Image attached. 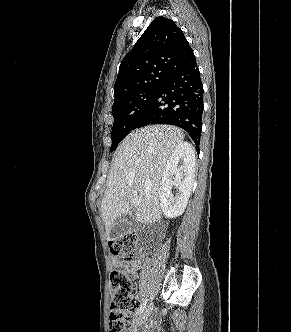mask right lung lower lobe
I'll use <instances>...</instances> for the list:
<instances>
[{
  "label": "right lung lower lobe",
  "mask_w": 291,
  "mask_h": 332,
  "mask_svg": "<svg viewBox=\"0 0 291 332\" xmlns=\"http://www.w3.org/2000/svg\"><path fill=\"white\" fill-rule=\"evenodd\" d=\"M203 112V86L196 60L170 73L139 116L135 128L149 124L178 126L199 147Z\"/></svg>",
  "instance_id": "right-lung-lower-lobe-1"
}]
</instances>
